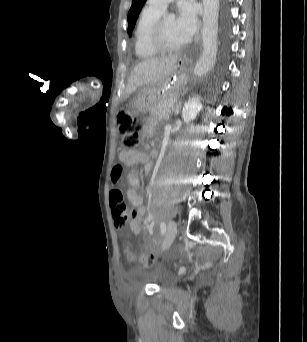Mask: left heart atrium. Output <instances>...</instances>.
Masks as SVG:
<instances>
[{"label":"left heart atrium","instance_id":"39dd6f15","mask_svg":"<svg viewBox=\"0 0 307 342\" xmlns=\"http://www.w3.org/2000/svg\"><path fill=\"white\" fill-rule=\"evenodd\" d=\"M177 34L184 43L191 42L196 36L199 22L192 6L185 7L175 21Z\"/></svg>","mask_w":307,"mask_h":342}]
</instances>
